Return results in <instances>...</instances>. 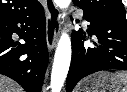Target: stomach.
I'll list each match as a JSON object with an SVG mask.
<instances>
[{"label": "stomach", "instance_id": "obj_1", "mask_svg": "<svg viewBox=\"0 0 127 92\" xmlns=\"http://www.w3.org/2000/svg\"><path fill=\"white\" fill-rule=\"evenodd\" d=\"M121 81L112 73H98L84 81L81 92H116Z\"/></svg>", "mask_w": 127, "mask_h": 92}]
</instances>
